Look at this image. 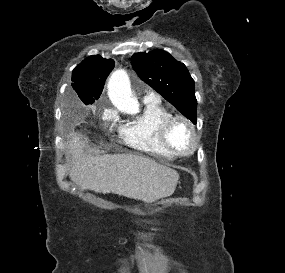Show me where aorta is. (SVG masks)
I'll list each match as a JSON object with an SVG mask.
<instances>
[{
  "label": "aorta",
  "mask_w": 285,
  "mask_h": 273,
  "mask_svg": "<svg viewBox=\"0 0 285 273\" xmlns=\"http://www.w3.org/2000/svg\"><path fill=\"white\" fill-rule=\"evenodd\" d=\"M108 96L112 104L127 114H137L140 110L138 100L131 91L130 80L125 70L112 73L108 83Z\"/></svg>",
  "instance_id": "1"
}]
</instances>
